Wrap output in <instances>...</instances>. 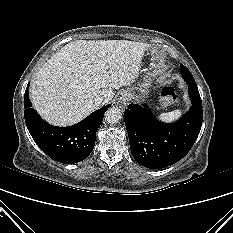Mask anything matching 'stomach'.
I'll list each match as a JSON object with an SVG mask.
<instances>
[{
    "mask_svg": "<svg viewBox=\"0 0 233 233\" xmlns=\"http://www.w3.org/2000/svg\"><path fill=\"white\" fill-rule=\"evenodd\" d=\"M151 54V56H154L156 53V49H154L153 47L149 46L148 50ZM151 74H149L148 76H146V79L144 80V82L140 85L139 88L136 89V91H134L133 93H131L132 97H144L148 94L149 92V88L151 87Z\"/></svg>",
    "mask_w": 233,
    "mask_h": 233,
    "instance_id": "obj_1",
    "label": "stomach"
}]
</instances>
